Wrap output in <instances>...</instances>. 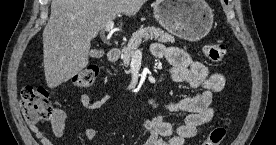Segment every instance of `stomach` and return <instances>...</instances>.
<instances>
[{"mask_svg": "<svg viewBox=\"0 0 276 145\" xmlns=\"http://www.w3.org/2000/svg\"><path fill=\"white\" fill-rule=\"evenodd\" d=\"M153 13L168 32L192 42L204 38L213 25V11L204 0H157Z\"/></svg>", "mask_w": 276, "mask_h": 145, "instance_id": "0dacf381", "label": "stomach"}]
</instances>
